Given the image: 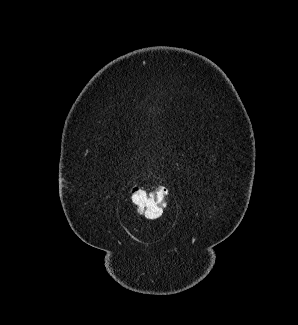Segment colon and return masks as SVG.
I'll use <instances>...</instances> for the list:
<instances>
[{
    "instance_id": "5ec220e1",
    "label": "colon",
    "mask_w": 298,
    "mask_h": 325,
    "mask_svg": "<svg viewBox=\"0 0 298 325\" xmlns=\"http://www.w3.org/2000/svg\"><path fill=\"white\" fill-rule=\"evenodd\" d=\"M135 210L149 218L157 217L167 200V190L161 187L146 190L136 187L130 193Z\"/></svg>"
}]
</instances>
